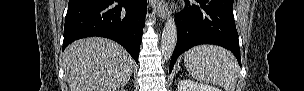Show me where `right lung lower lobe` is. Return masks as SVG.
I'll return each instance as SVG.
<instances>
[{"mask_svg": "<svg viewBox=\"0 0 304 91\" xmlns=\"http://www.w3.org/2000/svg\"><path fill=\"white\" fill-rule=\"evenodd\" d=\"M146 0H69L63 50L73 41L101 36L121 44L138 63Z\"/></svg>", "mask_w": 304, "mask_h": 91, "instance_id": "obj_1", "label": "right lung lower lobe"}]
</instances>
